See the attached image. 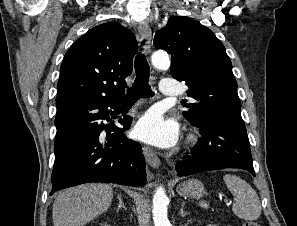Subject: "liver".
Returning a JSON list of instances; mask_svg holds the SVG:
<instances>
[{
  "label": "liver",
  "mask_w": 297,
  "mask_h": 226,
  "mask_svg": "<svg viewBox=\"0 0 297 226\" xmlns=\"http://www.w3.org/2000/svg\"><path fill=\"white\" fill-rule=\"evenodd\" d=\"M113 189L106 184H86L61 192L53 203L54 226H84L111 205Z\"/></svg>",
  "instance_id": "obj_1"
}]
</instances>
